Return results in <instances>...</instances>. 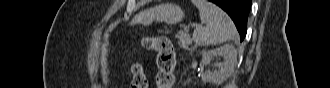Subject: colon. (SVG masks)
<instances>
[{"label": "colon", "mask_w": 330, "mask_h": 88, "mask_svg": "<svg viewBox=\"0 0 330 88\" xmlns=\"http://www.w3.org/2000/svg\"><path fill=\"white\" fill-rule=\"evenodd\" d=\"M143 46L157 54V86L171 88L174 84L175 55L171 41L164 36H148L142 40ZM132 88H147L143 67L134 63L131 67Z\"/></svg>", "instance_id": "colon-1"}]
</instances>
